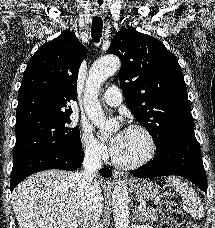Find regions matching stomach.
Here are the masks:
<instances>
[{
  "mask_svg": "<svg viewBox=\"0 0 215 228\" xmlns=\"http://www.w3.org/2000/svg\"><path fill=\"white\" fill-rule=\"evenodd\" d=\"M130 186H132L138 198H142L146 202L154 200L159 194V186L151 180H136V182H130Z\"/></svg>",
  "mask_w": 215,
  "mask_h": 228,
  "instance_id": "stomach-1",
  "label": "stomach"
}]
</instances>
